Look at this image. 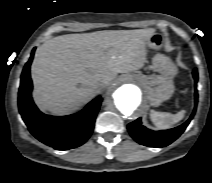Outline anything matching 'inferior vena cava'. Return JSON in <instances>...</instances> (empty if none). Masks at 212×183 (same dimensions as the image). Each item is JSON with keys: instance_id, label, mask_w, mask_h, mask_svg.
Listing matches in <instances>:
<instances>
[{"instance_id": "obj_1", "label": "inferior vena cava", "mask_w": 212, "mask_h": 183, "mask_svg": "<svg viewBox=\"0 0 212 183\" xmlns=\"http://www.w3.org/2000/svg\"><path fill=\"white\" fill-rule=\"evenodd\" d=\"M104 86H105V84L103 82H99V83L95 84V88L97 90H101Z\"/></svg>"}]
</instances>
